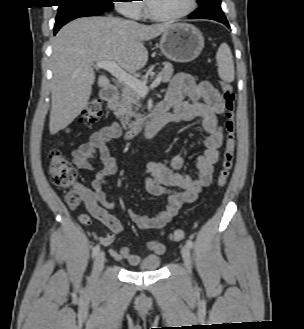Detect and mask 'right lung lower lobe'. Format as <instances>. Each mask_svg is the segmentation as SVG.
Listing matches in <instances>:
<instances>
[{"label":"right lung lower lobe","mask_w":304,"mask_h":329,"mask_svg":"<svg viewBox=\"0 0 304 329\" xmlns=\"http://www.w3.org/2000/svg\"><path fill=\"white\" fill-rule=\"evenodd\" d=\"M104 11H96V10H85V11H80V12H76L73 13L71 15H68L62 19H60L59 21H56L55 26H54V35L58 32V30L65 25L66 23H68L69 21L79 18V17H85V16H96V15H101L103 14Z\"/></svg>","instance_id":"1"}]
</instances>
